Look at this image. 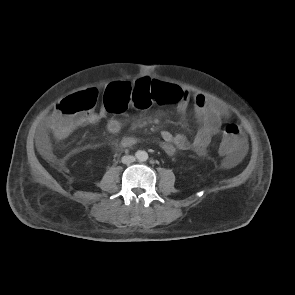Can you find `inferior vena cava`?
<instances>
[{"label":"inferior vena cava","instance_id":"602c4592","mask_svg":"<svg viewBox=\"0 0 295 295\" xmlns=\"http://www.w3.org/2000/svg\"><path fill=\"white\" fill-rule=\"evenodd\" d=\"M121 161L123 164H130L135 161V157L131 155H125L122 157Z\"/></svg>","mask_w":295,"mask_h":295}]
</instances>
